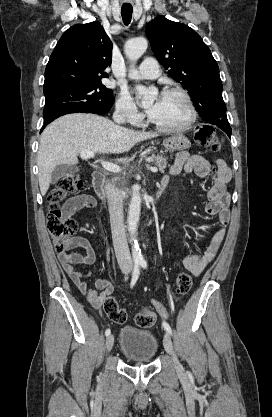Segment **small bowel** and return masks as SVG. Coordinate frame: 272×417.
I'll use <instances>...</instances> for the list:
<instances>
[{"label": "small bowel", "mask_w": 272, "mask_h": 417, "mask_svg": "<svg viewBox=\"0 0 272 417\" xmlns=\"http://www.w3.org/2000/svg\"><path fill=\"white\" fill-rule=\"evenodd\" d=\"M217 169L214 174L213 184L206 194L207 204L205 211L210 216L218 219L219 227L213 234L210 243L202 254L192 255L184 258L183 266L191 274L198 276L214 260L222 245L226 234V226L230 221L229 202L230 196L226 191L227 183L231 179V171L222 159L214 161ZM211 163L200 155H190L187 152H179L169 169L171 175L195 174L200 179H205L210 175ZM168 177L165 176L162 182L167 183ZM96 199L90 194H79L70 198L63 207L66 216L71 217L75 212L82 208L96 207ZM69 247L82 248L84 254H68L65 251L59 252V261L70 277L71 281L78 290L85 296L87 301L95 308H99L113 292L114 285L110 280L97 278L94 271L84 274L75 268V264L92 265L96 261V252L84 237H74L71 239ZM87 277H92L93 287L87 281Z\"/></svg>", "instance_id": "obj_1"}]
</instances>
